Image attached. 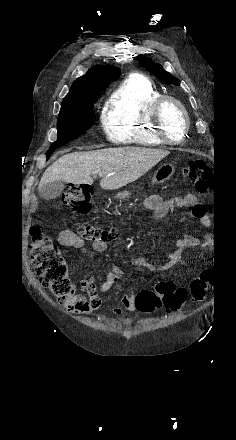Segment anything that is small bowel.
Wrapping results in <instances>:
<instances>
[{
  "label": "small bowel",
  "instance_id": "small-bowel-1",
  "mask_svg": "<svg viewBox=\"0 0 236 440\" xmlns=\"http://www.w3.org/2000/svg\"><path fill=\"white\" fill-rule=\"evenodd\" d=\"M143 210L152 213L155 220H161L166 217L174 208H191L193 216L198 218L204 225H209L210 221L205 214V208L197 201L193 194H188L185 197H172L164 200L157 194L148 196L142 206ZM58 243L64 247L79 249L82 253L87 252V247L75 232L71 230L62 231L58 238ZM200 240L195 236L185 234L177 240L173 251L169 254L168 260L161 265H150L144 259H139V262L147 266L152 272L165 273L171 270L174 266L184 262L183 255L188 249L198 247ZM108 246L105 241H95L92 244V249L97 253H103ZM122 279V270L118 266H112L105 280L98 284L96 279L87 273L81 280L80 285L67 297L62 303L68 311L74 314H91L99 311L103 304L99 297L101 293L109 291L112 287L117 285ZM140 293L134 294L129 292L122 295L121 303L127 311H134L137 309L136 298ZM109 309L116 315L122 314V310L118 307L111 306Z\"/></svg>",
  "mask_w": 236,
  "mask_h": 440
}]
</instances>
